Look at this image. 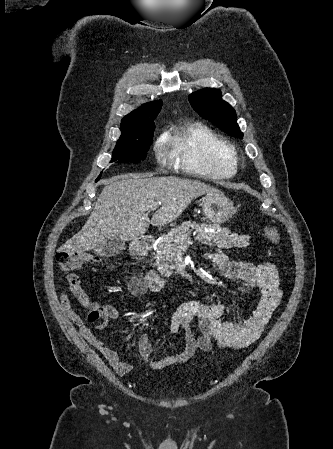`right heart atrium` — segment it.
<instances>
[{"instance_id":"d8ad5b80","label":"right heart atrium","mask_w":333,"mask_h":449,"mask_svg":"<svg viewBox=\"0 0 333 449\" xmlns=\"http://www.w3.org/2000/svg\"><path fill=\"white\" fill-rule=\"evenodd\" d=\"M155 151H156L157 157H158L159 159L162 158L161 144H157V146H156V148H155Z\"/></svg>"}]
</instances>
